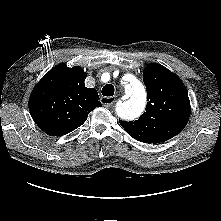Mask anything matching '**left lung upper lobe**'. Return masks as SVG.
Returning a JSON list of instances; mask_svg holds the SVG:
<instances>
[{"instance_id":"left-lung-upper-lobe-1","label":"left lung upper lobe","mask_w":221,"mask_h":221,"mask_svg":"<svg viewBox=\"0 0 221 221\" xmlns=\"http://www.w3.org/2000/svg\"><path fill=\"white\" fill-rule=\"evenodd\" d=\"M147 90L146 112L135 121L119 120L134 139L160 143L180 133L190 116V101L181 79L160 64H149L143 71Z\"/></svg>"}]
</instances>
